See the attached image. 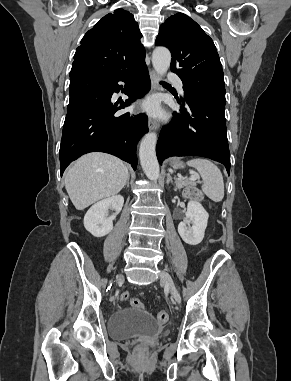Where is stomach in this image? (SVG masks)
<instances>
[{
	"instance_id": "1",
	"label": "stomach",
	"mask_w": 291,
	"mask_h": 381,
	"mask_svg": "<svg viewBox=\"0 0 291 381\" xmlns=\"http://www.w3.org/2000/svg\"><path fill=\"white\" fill-rule=\"evenodd\" d=\"M173 167H175V168H183L184 165H183L182 162L176 161V162H174Z\"/></svg>"
}]
</instances>
